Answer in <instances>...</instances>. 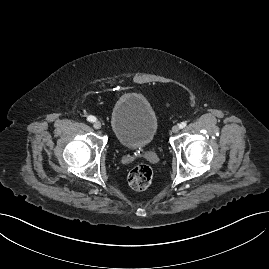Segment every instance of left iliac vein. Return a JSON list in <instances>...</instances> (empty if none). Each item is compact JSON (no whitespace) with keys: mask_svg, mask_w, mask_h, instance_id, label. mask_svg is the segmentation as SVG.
Returning a JSON list of instances; mask_svg holds the SVG:
<instances>
[{"mask_svg":"<svg viewBox=\"0 0 269 269\" xmlns=\"http://www.w3.org/2000/svg\"><path fill=\"white\" fill-rule=\"evenodd\" d=\"M179 130H180V127H179L178 125H174V126L172 127V132H173V133H178Z\"/></svg>","mask_w":269,"mask_h":269,"instance_id":"obj_1","label":"left iliac vein"}]
</instances>
